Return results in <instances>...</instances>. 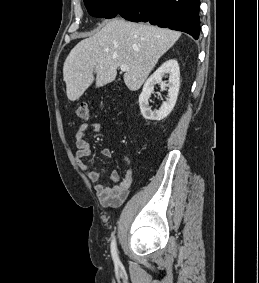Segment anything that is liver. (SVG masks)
I'll return each instance as SVG.
<instances>
[{"label": "liver", "mask_w": 259, "mask_h": 283, "mask_svg": "<svg viewBox=\"0 0 259 283\" xmlns=\"http://www.w3.org/2000/svg\"><path fill=\"white\" fill-rule=\"evenodd\" d=\"M180 36V32L149 24L121 18L110 20L98 33L80 41L67 56L63 79L68 99H79L94 80L96 87L111 83L121 65L130 68L124 74L126 86L131 91L138 90Z\"/></svg>", "instance_id": "liver-1"}]
</instances>
